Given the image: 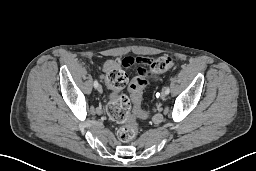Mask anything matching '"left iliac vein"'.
I'll list each match as a JSON object with an SVG mask.
<instances>
[{"label": "left iliac vein", "instance_id": "obj_1", "mask_svg": "<svg viewBox=\"0 0 256 171\" xmlns=\"http://www.w3.org/2000/svg\"><path fill=\"white\" fill-rule=\"evenodd\" d=\"M166 96H167V94H166L165 90H163L161 92V98L164 100L166 98Z\"/></svg>", "mask_w": 256, "mask_h": 171}]
</instances>
